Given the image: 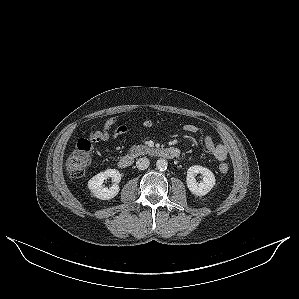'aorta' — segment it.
Returning a JSON list of instances; mask_svg holds the SVG:
<instances>
[{
	"instance_id": "1",
	"label": "aorta",
	"mask_w": 299,
	"mask_h": 299,
	"mask_svg": "<svg viewBox=\"0 0 299 299\" xmlns=\"http://www.w3.org/2000/svg\"><path fill=\"white\" fill-rule=\"evenodd\" d=\"M168 166V162L165 159H158L156 162V167L160 170V171H164L167 169Z\"/></svg>"
}]
</instances>
